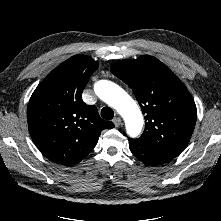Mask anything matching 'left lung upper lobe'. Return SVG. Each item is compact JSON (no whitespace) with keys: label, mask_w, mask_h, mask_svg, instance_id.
Returning <instances> with one entry per match:
<instances>
[{"label":"left lung upper lobe","mask_w":221,"mask_h":221,"mask_svg":"<svg viewBox=\"0 0 221 221\" xmlns=\"http://www.w3.org/2000/svg\"><path fill=\"white\" fill-rule=\"evenodd\" d=\"M111 72L133 90L145 114V130L138 140L178 156L188 144L197 119L195 102L184 84L149 55L121 60L112 65Z\"/></svg>","instance_id":"5c2ea615"}]
</instances>
